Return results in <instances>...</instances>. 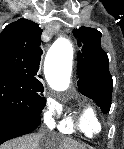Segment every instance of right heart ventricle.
<instances>
[{
  "label": "right heart ventricle",
  "instance_id": "obj_1",
  "mask_svg": "<svg viewBox=\"0 0 124 149\" xmlns=\"http://www.w3.org/2000/svg\"><path fill=\"white\" fill-rule=\"evenodd\" d=\"M59 129L63 133L79 132L89 139L97 137L103 130V124L96 110L86 106L78 115L66 118Z\"/></svg>",
  "mask_w": 124,
  "mask_h": 149
}]
</instances>
